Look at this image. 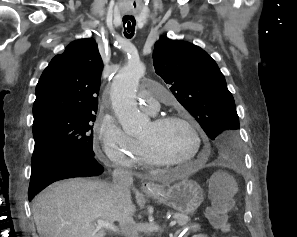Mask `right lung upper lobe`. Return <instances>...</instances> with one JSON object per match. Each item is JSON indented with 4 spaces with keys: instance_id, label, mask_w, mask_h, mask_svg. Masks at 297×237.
Segmentation results:
<instances>
[{
    "instance_id": "right-lung-upper-lobe-1",
    "label": "right lung upper lobe",
    "mask_w": 297,
    "mask_h": 237,
    "mask_svg": "<svg viewBox=\"0 0 297 237\" xmlns=\"http://www.w3.org/2000/svg\"><path fill=\"white\" fill-rule=\"evenodd\" d=\"M102 68L93 39L68 45L52 59L36 85L33 123L52 114L96 113Z\"/></svg>"
}]
</instances>
